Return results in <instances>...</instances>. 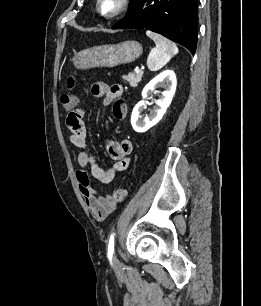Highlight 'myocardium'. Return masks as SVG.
<instances>
[{
  "label": "myocardium",
  "instance_id": "f54148a6",
  "mask_svg": "<svg viewBox=\"0 0 261 306\" xmlns=\"http://www.w3.org/2000/svg\"><path fill=\"white\" fill-rule=\"evenodd\" d=\"M102 1L103 0H96L95 7L98 14L106 19H113L120 16L129 8L131 4V0H118L117 7L112 12L106 13L101 8Z\"/></svg>",
  "mask_w": 261,
  "mask_h": 306
}]
</instances>
